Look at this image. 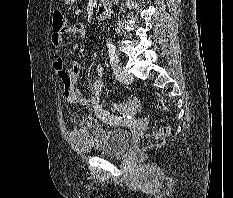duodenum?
<instances>
[{
  "label": "duodenum",
  "mask_w": 233,
  "mask_h": 198,
  "mask_svg": "<svg viewBox=\"0 0 233 198\" xmlns=\"http://www.w3.org/2000/svg\"><path fill=\"white\" fill-rule=\"evenodd\" d=\"M111 6V0H101L100 4L98 6L96 17L99 21H102L106 18L108 15V12L110 10Z\"/></svg>",
  "instance_id": "obj_1"
}]
</instances>
